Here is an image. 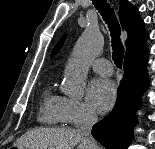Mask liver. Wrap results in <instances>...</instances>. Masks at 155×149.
Here are the masks:
<instances>
[{
	"mask_svg": "<svg viewBox=\"0 0 155 149\" xmlns=\"http://www.w3.org/2000/svg\"><path fill=\"white\" fill-rule=\"evenodd\" d=\"M88 149L84 136L79 129L72 128H35L13 144L18 149Z\"/></svg>",
	"mask_w": 155,
	"mask_h": 149,
	"instance_id": "obj_1",
	"label": "liver"
}]
</instances>
